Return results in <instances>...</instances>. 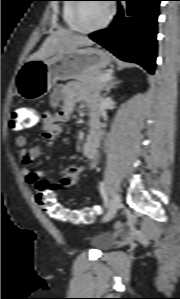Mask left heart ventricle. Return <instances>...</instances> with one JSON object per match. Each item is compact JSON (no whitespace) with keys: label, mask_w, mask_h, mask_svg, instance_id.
Listing matches in <instances>:
<instances>
[{"label":"left heart ventricle","mask_w":180,"mask_h":299,"mask_svg":"<svg viewBox=\"0 0 180 299\" xmlns=\"http://www.w3.org/2000/svg\"><path fill=\"white\" fill-rule=\"evenodd\" d=\"M107 12L106 2L82 3L78 14L79 23L85 28L95 27L104 21Z\"/></svg>","instance_id":"obj_1"}]
</instances>
